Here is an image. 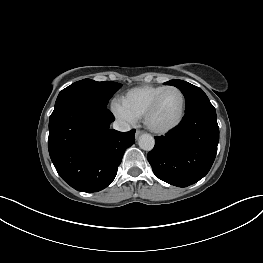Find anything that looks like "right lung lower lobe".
<instances>
[{
    "instance_id": "right-lung-lower-lobe-1",
    "label": "right lung lower lobe",
    "mask_w": 263,
    "mask_h": 263,
    "mask_svg": "<svg viewBox=\"0 0 263 263\" xmlns=\"http://www.w3.org/2000/svg\"><path fill=\"white\" fill-rule=\"evenodd\" d=\"M113 114L103 106L72 102L54 110L49 120L48 150L61 178L82 192H97L115 178L135 130L109 129Z\"/></svg>"
}]
</instances>
